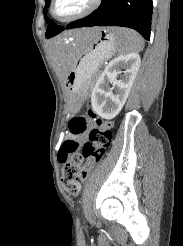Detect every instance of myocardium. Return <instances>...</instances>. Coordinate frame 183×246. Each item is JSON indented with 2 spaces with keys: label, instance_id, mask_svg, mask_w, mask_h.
<instances>
[{
  "label": "myocardium",
  "instance_id": "myocardium-1",
  "mask_svg": "<svg viewBox=\"0 0 183 246\" xmlns=\"http://www.w3.org/2000/svg\"><path fill=\"white\" fill-rule=\"evenodd\" d=\"M56 2L57 0H51L50 7H49V12H50L51 17L58 22L67 23V22H72V21L81 19L89 15L90 13H92L99 6V4L101 3V0H90L89 4L82 11L72 16L65 17V18H59L56 16L55 10H54Z\"/></svg>",
  "mask_w": 183,
  "mask_h": 246
}]
</instances>
